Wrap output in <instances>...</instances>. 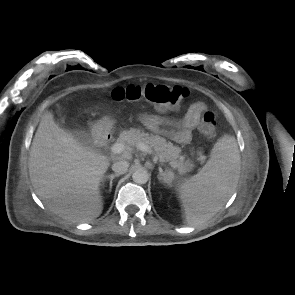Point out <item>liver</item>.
<instances>
[{"label": "liver", "mask_w": 295, "mask_h": 295, "mask_svg": "<svg viewBox=\"0 0 295 295\" xmlns=\"http://www.w3.org/2000/svg\"><path fill=\"white\" fill-rule=\"evenodd\" d=\"M109 165L107 156L81 145L51 113L42 117L30 149L29 174L52 212L72 222L97 218L103 210L100 183Z\"/></svg>", "instance_id": "6515ba94"}]
</instances>
